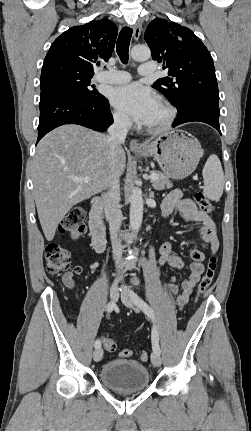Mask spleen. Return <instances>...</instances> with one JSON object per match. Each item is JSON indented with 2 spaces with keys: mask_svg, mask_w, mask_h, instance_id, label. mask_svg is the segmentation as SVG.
Listing matches in <instances>:
<instances>
[{
  "mask_svg": "<svg viewBox=\"0 0 251 431\" xmlns=\"http://www.w3.org/2000/svg\"><path fill=\"white\" fill-rule=\"evenodd\" d=\"M204 178L203 192L213 201L220 199L224 188V173L217 155H210L202 172Z\"/></svg>",
  "mask_w": 251,
  "mask_h": 431,
  "instance_id": "spleen-1",
  "label": "spleen"
}]
</instances>
